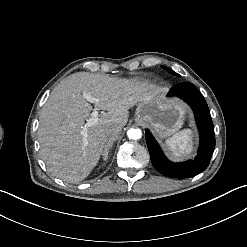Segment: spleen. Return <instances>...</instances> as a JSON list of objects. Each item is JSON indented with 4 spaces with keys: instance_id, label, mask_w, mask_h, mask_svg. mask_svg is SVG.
<instances>
[{
    "instance_id": "3e777b00",
    "label": "spleen",
    "mask_w": 247,
    "mask_h": 247,
    "mask_svg": "<svg viewBox=\"0 0 247 247\" xmlns=\"http://www.w3.org/2000/svg\"><path fill=\"white\" fill-rule=\"evenodd\" d=\"M172 141H176L177 143H183V145H187L189 143L192 145V130L184 129L178 133H175L173 137L167 139L165 143L166 145H168Z\"/></svg>"
}]
</instances>
